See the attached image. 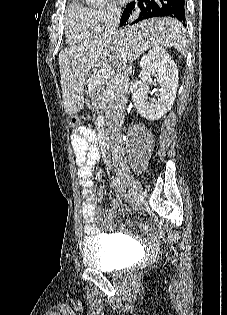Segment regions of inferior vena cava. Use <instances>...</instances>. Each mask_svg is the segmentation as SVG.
I'll list each match as a JSON object with an SVG mask.
<instances>
[{
  "instance_id": "602c4592",
  "label": "inferior vena cava",
  "mask_w": 227,
  "mask_h": 315,
  "mask_svg": "<svg viewBox=\"0 0 227 315\" xmlns=\"http://www.w3.org/2000/svg\"><path fill=\"white\" fill-rule=\"evenodd\" d=\"M121 17V10L117 7H113L110 11V21L104 32L105 36L114 34L119 30V21ZM116 94L114 96V125L111 133V152L112 155L122 153V147L120 146V128L124 119V111L127 103V95L129 92V78L127 72L124 70L119 75V81L116 84Z\"/></svg>"
}]
</instances>
